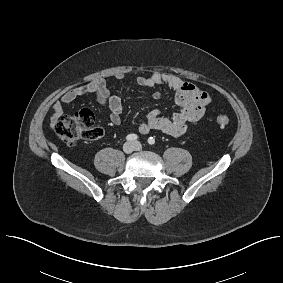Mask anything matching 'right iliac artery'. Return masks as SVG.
Returning <instances> with one entry per match:
<instances>
[{"mask_svg": "<svg viewBox=\"0 0 283 283\" xmlns=\"http://www.w3.org/2000/svg\"><path fill=\"white\" fill-rule=\"evenodd\" d=\"M138 136L136 134H129L127 135L126 139L128 141H134V140H137Z\"/></svg>", "mask_w": 283, "mask_h": 283, "instance_id": "right-iliac-artery-1", "label": "right iliac artery"}]
</instances>
